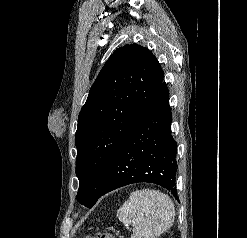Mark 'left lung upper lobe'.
<instances>
[{
  "instance_id": "left-lung-upper-lobe-1",
  "label": "left lung upper lobe",
  "mask_w": 247,
  "mask_h": 238,
  "mask_svg": "<svg viewBox=\"0 0 247 238\" xmlns=\"http://www.w3.org/2000/svg\"><path fill=\"white\" fill-rule=\"evenodd\" d=\"M156 57L137 44L117 49L92 85L75 135L77 200L91 208L106 172L162 81Z\"/></svg>"
}]
</instances>
